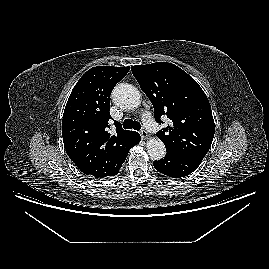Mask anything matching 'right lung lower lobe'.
Returning a JSON list of instances; mask_svg holds the SVG:
<instances>
[{
	"label": "right lung lower lobe",
	"instance_id": "98d812e1",
	"mask_svg": "<svg viewBox=\"0 0 269 269\" xmlns=\"http://www.w3.org/2000/svg\"><path fill=\"white\" fill-rule=\"evenodd\" d=\"M140 140H141V137H140L139 133L134 132L133 134L130 135L129 139L127 140V143L125 144V147H123V156L122 157L124 158V161L127 157L129 150L133 146L137 145L140 142Z\"/></svg>",
	"mask_w": 269,
	"mask_h": 269
}]
</instances>
